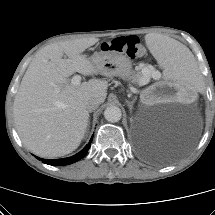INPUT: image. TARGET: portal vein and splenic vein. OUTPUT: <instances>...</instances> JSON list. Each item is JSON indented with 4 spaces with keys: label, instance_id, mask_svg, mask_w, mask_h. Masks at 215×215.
I'll return each instance as SVG.
<instances>
[{
    "label": "portal vein and splenic vein",
    "instance_id": "obj_1",
    "mask_svg": "<svg viewBox=\"0 0 215 215\" xmlns=\"http://www.w3.org/2000/svg\"><path fill=\"white\" fill-rule=\"evenodd\" d=\"M152 77H153L154 79H159V73L154 72V73L152 74ZM80 82H81V76H80V75H74V76L72 77V79H71V84L74 85V86L79 85ZM148 82H149V78H148V77H145V78L143 79V81L141 82V84H142V85H145V84H147Z\"/></svg>",
    "mask_w": 215,
    "mask_h": 215
}]
</instances>
